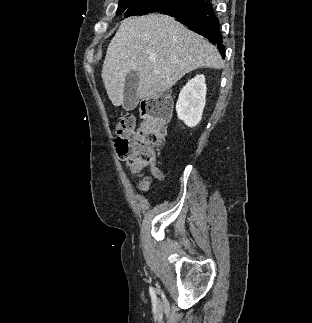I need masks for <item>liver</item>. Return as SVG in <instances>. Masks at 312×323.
Masks as SVG:
<instances>
[{"mask_svg": "<svg viewBox=\"0 0 312 323\" xmlns=\"http://www.w3.org/2000/svg\"><path fill=\"white\" fill-rule=\"evenodd\" d=\"M225 62L208 40L171 16L149 14L123 20L102 66L105 90L113 106H123L125 78L138 72L137 100L167 92L197 68L221 70Z\"/></svg>", "mask_w": 312, "mask_h": 323, "instance_id": "6515ba94", "label": "liver"}]
</instances>
